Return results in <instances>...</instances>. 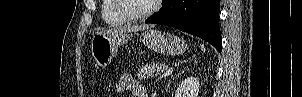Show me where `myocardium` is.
I'll return each mask as SVG.
<instances>
[{"instance_id":"f54148a6","label":"myocardium","mask_w":302,"mask_h":97,"mask_svg":"<svg viewBox=\"0 0 302 97\" xmlns=\"http://www.w3.org/2000/svg\"><path fill=\"white\" fill-rule=\"evenodd\" d=\"M114 5L116 10L124 16L127 20L129 21H142L151 15H153L157 8H158V1H152V4L150 7L143 13L140 14H133L129 12L126 8L125 5L123 4V0H114Z\"/></svg>"}]
</instances>
